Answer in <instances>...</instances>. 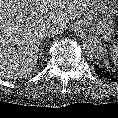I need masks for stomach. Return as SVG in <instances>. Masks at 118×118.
<instances>
[{
  "mask_svg": "<svg viewBox=\"0 0 118 118\" xmlns=\"http://www.w3.org/2000/svg\"><path fill=\"white\" fill-rule=\"evenodd\" d=\"M97 30L104 39H110L114 33L113 21L110 19H103L99 23Z\"/></svg>",
  "mask_w": 118,
  "mask_h": 118,
  "instance_id": "0dacf381",
  "label": "stomach"
}]
</instances>
